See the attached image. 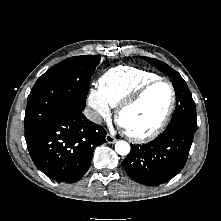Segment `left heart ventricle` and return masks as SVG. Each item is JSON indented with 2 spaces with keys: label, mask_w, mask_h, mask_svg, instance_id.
<instances>
[{
  "label": "left heart ventricle",
  "mask_w": 221,
  "mask_h": 221,
  "mask_svg": "<svg viewBox=\"0 0 221 221\" xmlns=\"http://www.w3.org/2000/svg\"><path fill=\"white\" fill-rule=\"evenodd\" d=\"M170 99L171 91L166 83L152 86L138 103L122 113L123 125L133 133L151 131L163 118Z\"/></svg>",
  "instance_id": "1"
}]
</instances>
